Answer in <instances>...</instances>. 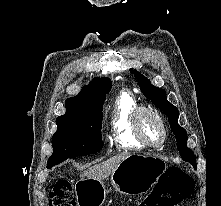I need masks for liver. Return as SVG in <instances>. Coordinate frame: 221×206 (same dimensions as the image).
<instances>
[{
  "label": "liver",
  "instance_id": "6515ba94",
  "mask_svg": "<svg viewBox=\"0 0 221 206\" xmlns=\"http://www.w3.org/2000/svg\"><path fill=\"white\" fill-rule=\"evenodd\" d=\"M129 155L119 154L113 156L102 163L96 164L92 167H89L83 174V177H88L96 180H103L110 176L114 170L117 168L119 163H121Z\"/></svg>",
  "mask_w": 221,
  "mask_h": 206
}]
</instances>
